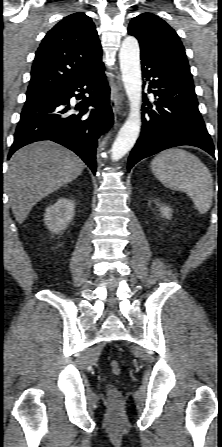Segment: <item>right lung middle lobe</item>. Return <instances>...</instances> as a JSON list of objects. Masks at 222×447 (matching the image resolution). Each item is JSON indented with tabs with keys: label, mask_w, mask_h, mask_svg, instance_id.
<instances>
[{
	"label": "right lung middle lobe",
	"mask_w": 222,
	"mask_h": 447,
	"mask_svg": "<svg viewBox=\"0 0 222 447\" xmlns=\"http://www.w3.org/2000/svg\"><path fill=\"white\" fill-rule=\"evenodd\" d=\"M51 98H53V97H45V98H27V99H26V102H25V106H24V108H30V107L39 105V104H41V103H44V102L50 100ZM24 108H23V109H24Z\"/></svg>",
	"instance_id": "1"
}]
</instances>
